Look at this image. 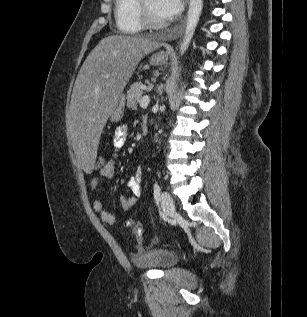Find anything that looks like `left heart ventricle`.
I'll use <instances>...</instances> for the list:
<instances>
[{
    "label": "left heart ventricle",
    "mask_w": 307,
    "mask_h": 317,
    "mask_svg": "<svg viewBox=\"0 0 307 317\" xmlns=\"http://www.w3.org/2000/svg\"><path fill=\"white\" fill-rule=\"evenodd\" d=\"M146 4L153 15V17L159 21H164L165 17L162 16L157 10V1L156 0H146Z\"/></svg>",
    "instance_id": "b2bd125f"
}]
</instances>
